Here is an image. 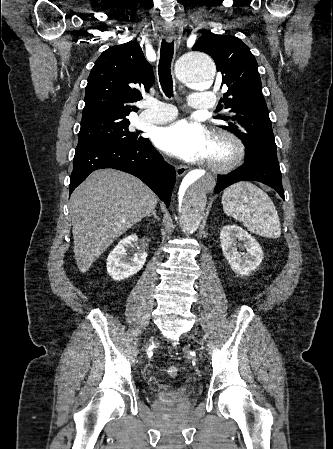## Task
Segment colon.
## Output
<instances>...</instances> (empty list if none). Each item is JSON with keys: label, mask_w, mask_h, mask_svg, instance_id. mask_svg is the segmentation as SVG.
<instances>
[{"label": "colon", "mask_w": 333, "mask_h": 449, "mask_svg": "<svg viewBox=\"0 0 333 449\" xmlns=\"http://www.w3.org/2000/svg\"><path fill=\"white\" fill-rule=\"evenodd\" d=\"M166 374L169 378H175L178 375V369L176 366H169L166 369Z\"/></svg>", "instance_id": "obj_1"}]
</instances>
